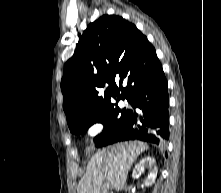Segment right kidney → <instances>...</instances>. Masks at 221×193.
I'll return each instance as SVG.
<instances>
[{"label":"right kidney","mask_w":221,"mask_h":193,"mask_svg":"<svg viewBox=\"0 0 221 193\" xmlns=\"http://www.w3.org/2000/svg\"><path fill=\"white\" fill-rule=\"evenodd\" d=\"M145 168L149 169L148 177L145 181L146 186H150L155 182L157 177V167L155 164V159L147 156L143 158L134 168L132 176L137 178L141 173L145 171Z\"/></svg>","instance_id":"right-kidney-1"}]
</instances>
